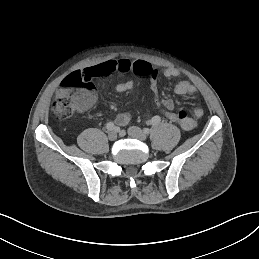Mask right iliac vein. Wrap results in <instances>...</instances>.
I'll use <instances>...</instances> for the list:
<instances>
[{"label":"right iliac vein","mask_w":259,"mask_h":259,"mask_svg":"<svg viewBox=\"0 0 259 259\" xmlns=\"http://www.w3.org/2000/svg\"><path fill=\"white\" fill-rule=\"evenodd\" d=\"M108 139H109L110 141L116 140V139H117V134H116V132H114V131L109 132V133H108Z\"/></svg>","instance_id":"obj_1"}]
</instances>
